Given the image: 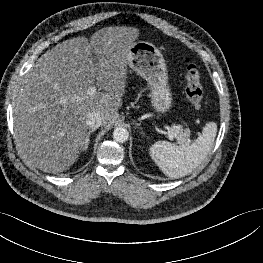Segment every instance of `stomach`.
<instances>
[{
	"instance_id": "1",
	"label": "stomach",
	"mask_w": 263,
	"mask_h": 263,
	"mask_svg": "<svg viewBox=\"0 0 263 263\" xmlns=\"http://www.w3.org/2000/svg\"><path fill=\"white\" fill-rule=\"evenodd\" d=\"M128 66L146 80L154 117L166 115L173 106L168 71L161 51L152 43L136 41L128 52Z\"/></svg>"
}]
</instances>
